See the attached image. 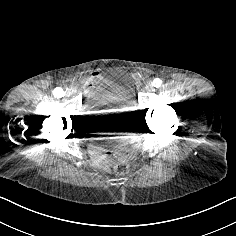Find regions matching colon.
<instances>
[{"instance_id": "obj_1", "label": "colon", "mask_w": 236, "mask_h": 236, "mask_svg": "<svg viewBox=\"0 0 236 236\" xmlns=\"http://www.w3.org/2000/svg\"><path fill=\"white\" fill-rule=\"evenodd\" d=\"M130 169V163L126 158H117L114 163V171L119 174L123 175L126 174Z\"/></svg>"}]
</instances>
